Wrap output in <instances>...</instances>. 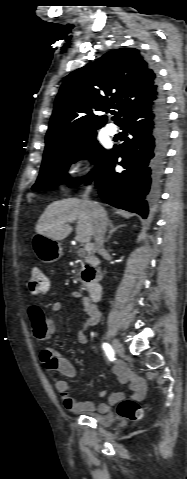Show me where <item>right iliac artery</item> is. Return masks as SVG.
Wrapping results in <instances>:
<instances>
[{"label":"right iliac artery","mask_w":187,"mask_h":479,"mask_svg":"<svg viewBox=\"0 0 187 479\" xmlns=\"http://www.w3.org/2000/svg\"><path fill=\"white\" fill-rule=\"evenodd\" d=\"M103 349H104L108 359L110 361H113L115 358H114V350L112 349V347L108 343H103Z\"/></svg>","instance_id":"right-iliac-artery-1"}]
</instances>
